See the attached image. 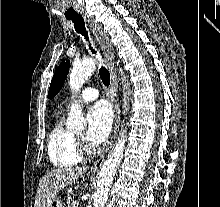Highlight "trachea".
Listing matches in <instances>:
<instances>
[{
	"label": "trachea",
	"instance_id": "trachea-1",
	"mask_svg": "<svg viewBox=\"0 0 220 207\" xmlns=\"http://www.w3.org/2000/svg\"><path fill=\"white\" fill-rule=\"evenodd\" d=\"M68 19L72 20V22L74 23V28L77 31V33L81 34L86 39V41L89 42V49L91 50V52L93 54H96V51L92 48L91 43L89 41L88 31L86 30L85 22H84L83 17L82 16H76V17H71V18H68ZM99 75H100V78H101L103 84L105 86H109V84H110V73L104 66H101V68L99 69Z\"/></svg>",
	"mask_w": 220,
	"mask_h": 207
}]
</instances>
